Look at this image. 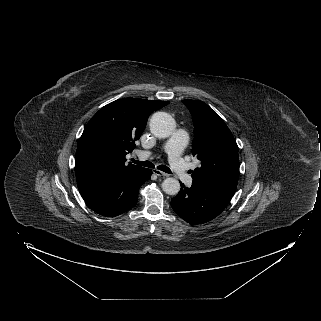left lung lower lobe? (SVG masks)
<instances>
[{"label":"left lung lower lobe","mask_w":321,"mask_h":321,"mask_svg":"<svg viewBox=\"0 0 321 321\" xmlns=\"http://www.w3.org/2000/svg\"><path fill=\"white\" fill-rule=\"evenodd\" d=\"M237 182L193 180L190 188L181 183L178 195L171 200L174 211L190 224H203L218 216L229 204Z\"/></svg>","instance_id":"1"}]
</instances>
